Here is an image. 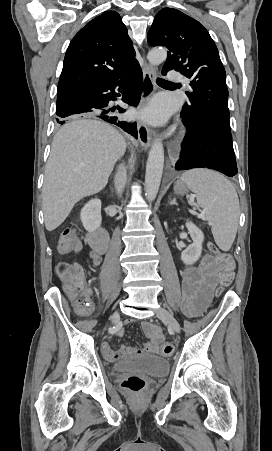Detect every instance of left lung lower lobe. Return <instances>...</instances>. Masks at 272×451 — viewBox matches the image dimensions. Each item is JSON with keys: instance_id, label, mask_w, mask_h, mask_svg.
I'll return each mask as SVG.
<instances>
[{"instance_id": "obj_1", "label": "left lung lower lobe", "mask_w": 272, "mask_h": 451, "mask_svg": "<svg viewBox=\"0 0 272 451\" xmlns=\"http://www.w3.org/2000/svg\"><path fill=\"white\" fill-rule=\"evenodd\" d=\"M166 73L162 70L163 75ZM182 122L187 125L188 132L184 137L186 142L182 145V157L176 163V170L209 168L229 177L237 174L230 129L211 118L182 119Z\"/></svg>"}]
</instances>
